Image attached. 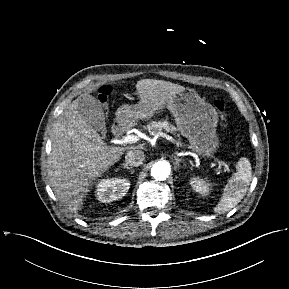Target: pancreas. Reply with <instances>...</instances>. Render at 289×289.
<instances>
[{
  "label": "pancreas",
  "mask_w": 289,
  "mask_h": 289,
  "mask_svg": "<svg viewBox=\"0 0 289 289\" xmlns=\"http://www.w3.org/2000/svg\"><path fill=\"white\" fill-rule=\"evenodd\" d=\"M146 129H148V131L150 133H156L157 131H161L162 129L166 130L167 132H173L175 130V128L169 124L167 121H153L151 123H149L147 125V127H145Z\"/></svg>",
  "instance_id": "obj_1"
}]
</instances>
